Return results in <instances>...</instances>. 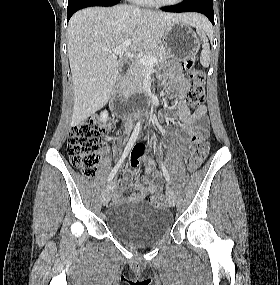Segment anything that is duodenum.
Segmentation results:
<instances>
[{
	"label": "duodenum",
	"instance_id": "410a0bca",
	"mask_svg": "<svg viewBox=\"0 0 280 285\" xmlns=\"http://www.w3.org/2000/svg\"><path fill=\"white\" fill-rule=\"evenodd\" d=\"M124 99H125V90L123 86L120 85L117 88L114 98L112 100V106L116 110V113L119 117L125 116L123 109H122V104H123Z\"/></svg>",
	"mask_w": 280,
	"mask_h": 285
}]
</instances>
